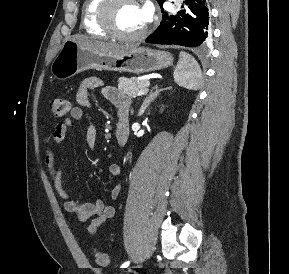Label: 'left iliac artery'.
Instances as JSON below:
<instances>
[{
	"mask_svg": "<svg viewBox=\"0 0 289 274\" xmlns=\"http://www.w3.org/2000/svg\"><path fill=\"white\" fill-rule=\"evenodd\" d=\"M130 262L127 261V262H124L122 265H121V268H127L129 266Z\"/></svg>",
	"mask_w": 289,
	"mask_h": 274,
	"instance_id": "1",
	"label": "left iliac artery"
}]
</instances>
